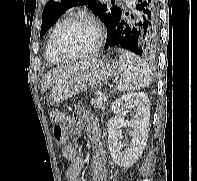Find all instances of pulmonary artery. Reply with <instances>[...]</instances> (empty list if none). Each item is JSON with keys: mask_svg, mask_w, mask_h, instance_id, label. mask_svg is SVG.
<instances>
[{"mask_svg": "<svg viewBox=\"0 0 197 181\" xmlns=\"http://www.w3.org/2000/svg\"><path fill=\"white\" fill-rule=\"evenodd\" d=\"M131 1H132V0H127V3L131 4Z\"/></svg>", "mask_w": 197, "mask_h": 181, "instance_id": "1", "label": "pulmonary artery"}]
</instances>
